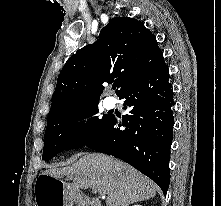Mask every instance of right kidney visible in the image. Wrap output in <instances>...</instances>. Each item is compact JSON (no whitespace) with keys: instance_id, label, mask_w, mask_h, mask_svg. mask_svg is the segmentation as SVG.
Here are the masks:
<instances>
[{"instance_id":"ca27d5eb","label":"right kidney","mask_w":221,"mask_h":206,"mask_svg":"<svg viewBox=\"0 0 221 206\" xmlns=\"http://www.w3.org/2000/svg\"><path fill=\"white\" fill-rule=\"evenodd\" d=\"M133 206H142V205H139V204H135V205H133Z\"/></svg>"}]
</instances>
